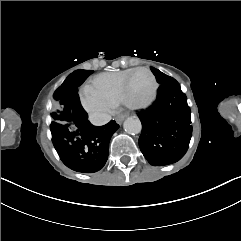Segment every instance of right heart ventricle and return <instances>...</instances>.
Instances as JSON below:
<instances>
[{
    "instance_id": "right-heart-ventricle-1",
    "label": "right heart ventricle",
    "mask_w": 241,
    "mask_h": 241,
    "mask_svg": "<svg viewBox=\"0 0 241 241\" xmlns=\"http://www.w3.org/2000/svg\"><path fill=\"white\" fill-rule=\"evenodd\" d=\"M134 70L101 73L94 76L87 84H92L97 89V94L105 97L115 106L120 104L119 97L124 94L121 89L125 80L129 78V74L133 73Z\"/></svg>"
}]
</instances>
